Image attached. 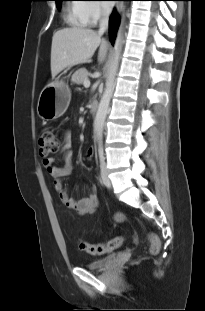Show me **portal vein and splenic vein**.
Wrapping results in <instances>:
<instances>
[{"instance_id": "18ae733b", "label": "portal vein and splenic vein", "mask_w": 205, "mask_h": 311, "mask_svg": "<svg viewBox=\"0 0 205 311\" xmlns=\"http://www.w3.org/2000/svg\"><path fill=\"white\" fill-rule=\"evenodd\" d=\"M83 85H84V87H86V88L90 87V81H89L88 79H85Z\"/></svg>"}]
</instances>
